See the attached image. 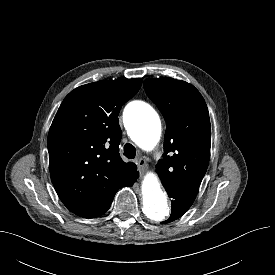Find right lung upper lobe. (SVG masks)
<instances>
[{
    "mask_svg": "<svg viewBox=\"0 0 275 275\" xmlns=\"http://www.w3.org/2000/svg\"><path fill=\"white\" fill-rule=\"evenodd\" d=\"M142 80H101L70 92L48 135L50 175L63 204L74 214L94 218L111 206L115 193L137 167L119 155V111Z\"/></svg>",
    "mask_w": 275,
    "mask_h": 275,
    "instance_id": "cb5924a9",
    "label": "right lung upper lobe"
}]
</instances>
